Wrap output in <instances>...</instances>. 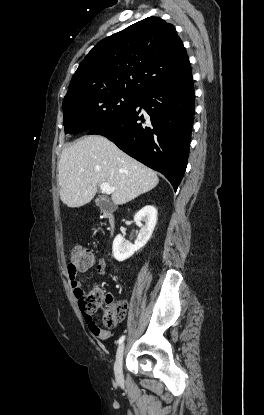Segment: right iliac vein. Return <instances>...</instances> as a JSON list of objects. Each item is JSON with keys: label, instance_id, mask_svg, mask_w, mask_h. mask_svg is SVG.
Instances as JSON below:
<instances>
[{"label": "right iliac vein", "instance_id": "63e3f726", "mask_svg": "<svg viewBox=\"0 0 264 415\" xmlns=\"http://www.w3.org/2000/svg\"><path fill=\"white\" fill-rule=\"evenodd\" d=\"M125 349V344L122 343L116 353V360L114 365L115 376L117 380H121L123 378L122 374V363H123V353Z\"/></svg>", "mask_w": 264, "mask_h": 415}]
</instances>
